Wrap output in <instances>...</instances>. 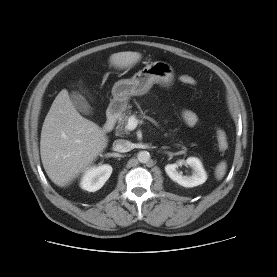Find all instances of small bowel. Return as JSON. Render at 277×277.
<instances>
[{"label":"small bowel","instance_id":"obj_1","mask_svg":"<svg viewBox=\"0 0 277 277\" xmlns=\"http://www.w3.org/2000/svg\"><path fill=\"white\" fill-rule=\"evenodd\" d=\"M181 115L184 122L190 127H193L198 123V116L191 110L185 109L182 111Z\"/></svg>","mask_w":277,"mask_h":277}]
</instances>
